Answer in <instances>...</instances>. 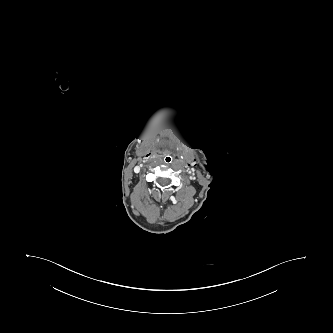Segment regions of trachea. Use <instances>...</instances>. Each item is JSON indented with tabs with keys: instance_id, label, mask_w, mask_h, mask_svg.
<instances>
[{
	"instance_id": "trachea-1",
	"label": "trachea",
	"mask_w": 333,
	"mask_h": 333,
	"mask_svg": "<svg viewBox=\"0 0 333 333\" xmlns=\"http://www.w3.org/2000/svg\"><path fill=\"white\" fill-rule=\"evenodd\" d=\"M161 162L166 166V167H171L175 163V158L170 154V153H165L161 157Z\"/></svg>"
}]
</instances>
